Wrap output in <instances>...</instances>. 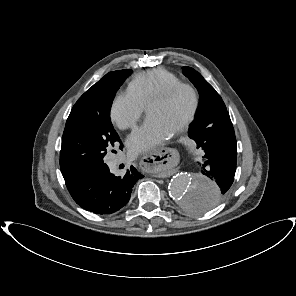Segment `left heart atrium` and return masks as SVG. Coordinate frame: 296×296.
Returning a JSON list of instances; mask_svg holds the SVG:
<instances>
[{
    "label": "left heart atrium",
    "instance_id": "obj_1",
    "mask_svg": "<svg viewBox=\"0 0 296 296\" xmlns=\"http://www.w3.org/2000/svg\"><path fill=\"white\" fill-rule=\"evenodd\" d=\"M173 131L154 117H148L127 139L128 150L133 155L147 153L165 143Z\"/></svg>",
    "mask_w": 296,
    "mask_h": 296
}]
</instances>
